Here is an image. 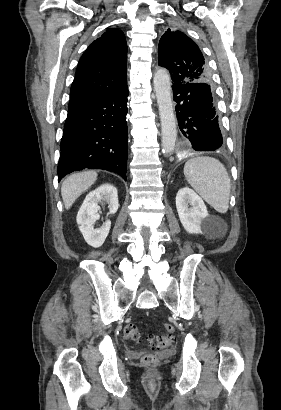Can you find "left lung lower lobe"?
<instances>
[{"mask_svg":"<svg viewBox=\"0 0 281 410\" xmlns=\"http://www.w3.org/2000/svg\"><path fill=\"white\" fill-rule=\"evenodd\" d=\"M179 128L196 151H215L223 137L209 83L172 84Z\"/></svg>","mask_w":281,"mask_h":410,"instance_id":"obj_1","label":"left lung lower lobe"}]
</instances>
